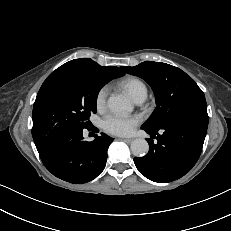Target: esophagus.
<instances>
[{
    "instance_id": "esophagus-1",
    "label": "esophagus",
    "mask_w": 231,
    "mask_h": 231,
    "mask_svg": "<svg viewBox=\"0 0 231 231\" xmlns=\"http://www.w3.org/2000/svg\"><path fill=\"white\" fill-rule=\"evenodd\" d=\"M122 140L126 142H131L133 139L132 138H122Z\"/></svg>"
}]
</instances>
